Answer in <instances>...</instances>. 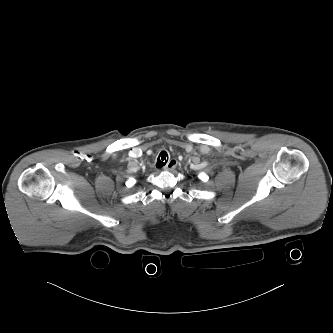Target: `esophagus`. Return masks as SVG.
<instances>
[{
  "label": "esophagus",
  "mask_w": 333,
  "mask_h": 333,
  "mask_svg": "<svg viewBox=\"0 0 333 333\" xmlns=\"http://www.w3.org/2000/svg\"><path fill=\"white\" fill-rule=\"evenodd\" d=\"M177 165V160L176 159H171L168 161V163L164 166L165 171H173Z\"/></svg>",
  "instance_id": "34e87169"
}]
</instances>
